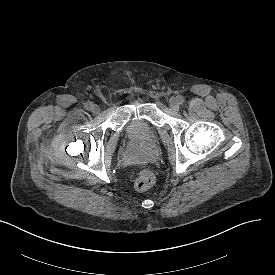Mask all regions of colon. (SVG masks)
Listing matches in <instances>:
<instances>
[{
    "label": "colon",
    "instance_id": "obj_1",
    "mask_svg": "<svg viewBox=\"0 0 275 275\" xmlns=\"http://www.w3.org/2000/svg\"><path fill=\"white\" fill-rule=\"evenodd\" d=\"M154 182V173L147 168L140 167L137 171V178L134 184V188L137 192H144L151 188Z\"/></svg>",
    "mask_w": 275,
    "mask_h": 275
}]
</instances>
